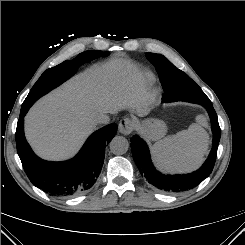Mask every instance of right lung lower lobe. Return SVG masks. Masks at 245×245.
I'll return each instance as SVG.
<instances>
[{"mask_svg":"<svg viewBox=\"0 0 245 245\" xmlns=\"http://www.w3.org/2000/svg\"><path fill=\"white\" fill-rule=\"evenodd\" d=\"M93 59L88 57L85 62ZM29 108H21L15 138L18 155L30 181L55 196L70 197L87 191L97 180L104 162L105 146L115 136L117 125L112 123L94 132L71 160L49 162L37 157L25 139L24 116Z\"/></svg>","mask_w":245,"mask_h":245,"instance_id":"1","label":"right lung lower lobe"}]
</instances>
